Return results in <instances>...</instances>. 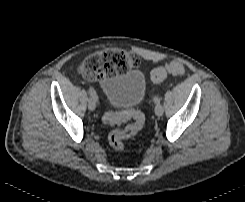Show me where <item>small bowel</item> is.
Returning <instances> with one entry per match:
<instances>
[{
    "label": "small bowel",
    "instance_id": "c3829d8e",
    "mask_svg": "<svg viewBox=\"0 0 245 202\" xmlns=\"http://www.w3.org/2000/svg\"><path fill=\"white\" fill-rule=\"evenodd\" d=\"M134 63H137V60H134ZM153 72H154V70H152V71L150 72L149 80H150V82L153 83V84H158V83L161 82V81H158V80L155 79V77L153 76Z\"/></svg>",
    "mask_w": 245,
    "mask_h": 202
}]
</instances>
